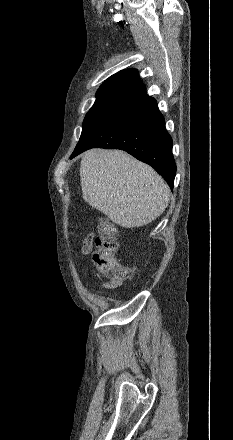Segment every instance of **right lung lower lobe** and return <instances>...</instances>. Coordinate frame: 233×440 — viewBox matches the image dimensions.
Listing matches in <instances>:
<instances>
[{
  "label": "right lung lower lobe",
  "mask_w": 233,
  "mask_h": 440,
  "mask_svg": "<svg viewBox=\"0 0 233 440\" xmlns=\"http://www.w3.org/2000/svg\"><path fill=\"white\" fill-rule=\"evenodd\" d=\"M92 147L121 149L152 166L172 188L176 164L172 139L157 102L147 94L124 105L98 129L79 141L71 158Z\"/></svg>",
  "instance_id": "obj_1"
}]
</instances>
